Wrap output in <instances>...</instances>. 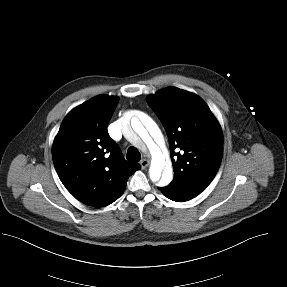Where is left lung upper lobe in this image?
Segmentation results:
<instances>
[{"label":"left lung upper lobe","mask_w":287,"mask_h":287,"mask_svg":"<svg viewBox=\"0 0 287 287\" xmlns=\"http://www.w3.org/2000/svg\"><path fill=\"white\" fill-rule=\"evenodd\" d=\"M167 133L174 179L169 184L195 197L214 179L223 157L217 119L196 94L176 87L147 97Z\"/></svg>","instance_id":"5c2ea615"}]
</instances>
